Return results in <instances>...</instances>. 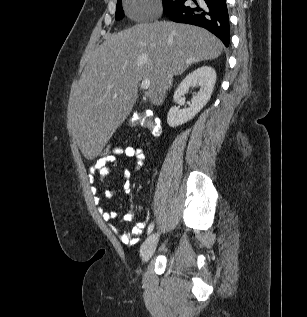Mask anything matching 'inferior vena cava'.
I'll use <instances>...</instances> for the list:
<instances>
[{
  "mask_svg": "<svg viewBox=\"0 0 307 317\" xmlns=\"http://www.w3.org/2000/svg\"><path fill=\"white\" fill-rule=\"evenodd\" d=\"M168 84H169V87H170L171 84H172V75L169 76ZM167 87H168V86H167Z\"/></svg>",
  "mask_w": 307,
  "mask_h": 317,
  "instance_id": "602c4592",
  "label": "inferior vena cava"
}]
</instances>
